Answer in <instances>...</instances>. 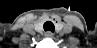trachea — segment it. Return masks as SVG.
<instances>
[{"instance_id": "1", "label": "trachea", "mask_w": 97, "mask_h": 48, "mask_svg": "<svg viewBox=\"0 0 97 48\" xmlns=\"http://www.w3.org/2000/svg\"><path fill=\"white\" fill-rule=\"evenodd\" d=\"M43 27L45 31H51V32L55 31V26L51 21L45 22Z\"/></svg>"}]
</instances>
